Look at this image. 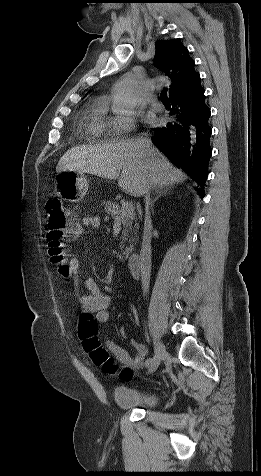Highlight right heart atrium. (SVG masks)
Wrapping results in <instances>:
<instances>
[{
  "label": "right heart atrium",
  "mask_w": 261,
  "mask_h": 476,
  "mask_svg": "<svg viewBox=\"0 0 261 476\" xmlns=\"http://www.w3.org/2000/svg\"><path fill=\"white\" fill-rule=\"evenodd\" d=\"M136 114L128 112L120 114L111 119L108 124V132L112 136H123L131 133L135 129Z\"/></svg>",
  "instance_id": "obj_1"
}]
</instances>
